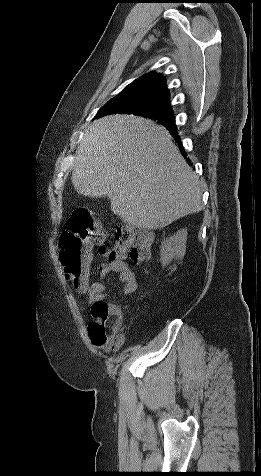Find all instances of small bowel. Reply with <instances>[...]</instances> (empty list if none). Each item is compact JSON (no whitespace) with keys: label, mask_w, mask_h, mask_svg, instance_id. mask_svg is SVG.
Instances as JSON below:
<instances>
[{"label":"small bowel","mask_w":261,"mask_h":476,"mask_svg":"<svg viewBox=\"0 0 261 476\" xmlns=\"http://www.w3.org/2000/svg\"><path fill=\"white\" fill-rule=\"evenodd\" d=\"M116 274L121 282L120 292L124 294H131L138 288L137 278L135 272L124 260H108L101 263L98 268V279L91 285L85 286L82 290L87 296L88 302L93 306L96 303L105 301L108 295L105 286V279L111 275ZM116 317L115 326L120 328L123 315L118 308L112 307Z\"/></svg>","instance_id":"1"}]
</instances>
